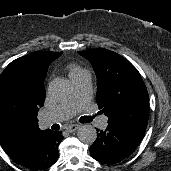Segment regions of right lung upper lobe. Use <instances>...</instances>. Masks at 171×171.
Here are the masks:
<instances>
[{"mask_svg": "<svg viewBox=\"0 0 171 171\" xmlns=\"http://www.w3.org/2000/svg\"><path fill=\"white\" fill-rule=\"evenodd\" d=\"M62 53L35 51L9 64L15 66L27 82L32 102L38 111L42 107L46 96L43 82L47 69L50 63L61 56ZM49 130H40L38 120L35 124L21 131L7 132L0 130V144L7 155L16 162L22 159L34 147L36 141Z\"/></svg>", "mask_w": 171, "mask_h": 171, "instance_id": "obj_1", "label": "right lung upper lobe"}]
</instances>
